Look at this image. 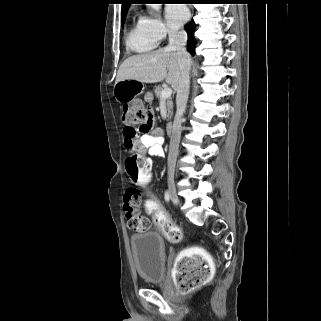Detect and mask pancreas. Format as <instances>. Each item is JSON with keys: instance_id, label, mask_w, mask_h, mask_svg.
Segmentation results:
<instances>
[{"instance_id": "cf45deb5", "label": "pancreas", "mask_w": 321, "mask_h": 321, "mask_svg": "<svg viewBox=\"0 0 321 321\" xmlns=\"http://www.w3.org/2000/svg\"><path fill=\"white\" fill-rule=\"evenodd\" d=\"M163 88L160 87V86H157L155 87V95L156 97L161 100V92H162ZM165 104H166V107H167V118L168 120L172 117L173 115V102H172V99L170 97L166 98L165 99Z\"/></svg>"}]
</instances>
